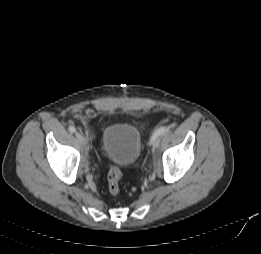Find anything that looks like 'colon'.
I'll return each instance as SVG.
<instances>
[{"label": "colon", "mask_w": 261, "mask_h": 254, "mask_svg": "<svg viewBox=\"0 0 261 254\" xmlns=\"http://www.w3.org/2000/svg\"><path fill=\"white\" fill-rule=\"evenodd\" d=\"M121 178V169L117 166H111L107 174L108 191L111 195H118L120 191Z\"/></svg>", "instance_id": "obj_1"}]
</instances>
